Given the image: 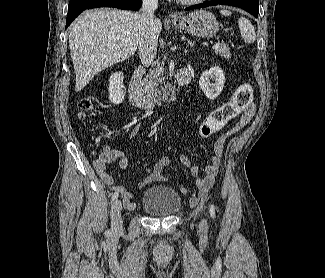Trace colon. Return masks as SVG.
<instances>
[{
    "label": "colon",
    "mask_w": 325,
    "mask_h": 278,
    "mask_svg": "<svg viewBox=\"0 0 325 278\" xmlns=\"http://www.w3.org/2000/svg\"><path fill=\"white\" fill-rule=\"evenodd\" d=\"M253 99V88L249 83L240 84L232 98L213 110L200 124L199 135L201 137H209L231 119L237 116L251 105ZM80 118L85 119L86 116L93 110V103L90 99H83L79 103Z\"/></svg>",
    "instance_id": "1"
}]
</instances>
